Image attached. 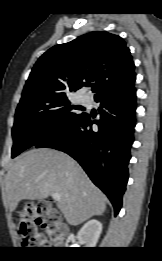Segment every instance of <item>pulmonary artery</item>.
Instances as JSON below:
<instances>
[{
    "mask_svg": "<svg viewBox=\"0 0 162 261\" xmlns=\"http://www.w3.org/2000/svg\"><path fill=\"white\" fill-rule=\"evenodd\" d=\"M83 101H84L85 103H88V102L90 101V97H89V96H84V97H83Z\"/></svg>",
    "mask_w": 162,
    "mask_h": 261,
    "instance_id": "1",
    "label": "pulmonary artery"
}]
</instances>
